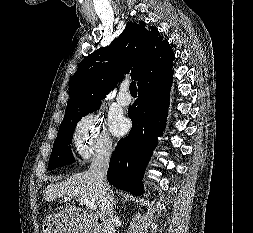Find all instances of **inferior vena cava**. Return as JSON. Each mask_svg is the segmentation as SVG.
<instances>
[{
    "label": "inferior vena cava",
    "instance_id": "1",
    "mask_svg": "<svg viewBox=\"0 0 253 233\" xmlns=\"http://www.w3.org/2000/svg\"><path fill=\"white\" fill-rule=\"evenodd\" d=\"M112 153V145H105L93 158L89 172L95 177L101 197V212L105 218L104 233H112L114 217V197L113 192L106 181V174L109 160Z\"/></svg>",
    "mask_w": 253,
    "mask_h": 233
}]
</instances>
